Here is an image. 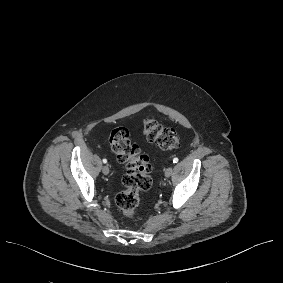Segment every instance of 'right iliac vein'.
I'll list each match as a JSON object with an SVG mask.
<instances>
[{
	"instance_id": "right-iliac-vein-1",
	"label": "right iliac vein",
	"mask_w": 283,
	"mask_h": 283,
	"mask_svg": "<svg viewBox=\"0 0 283 283\" xmlns=\"http://www.w3.org/2000/svg\"><path fill=\"white\" fill-rule=\"evenodd\" d=\"M102 172H103V174L104 175H108L109 174V167L108 166H103V168H102Z\"/></svg>"
}]
</instances>
